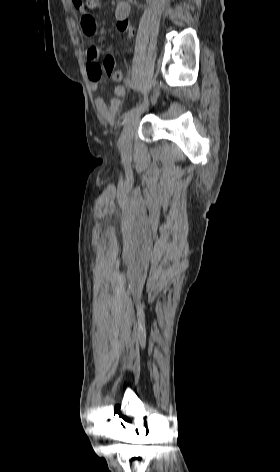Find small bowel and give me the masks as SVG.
Masks as SVG:
<instances>
[{
  "label": "small bowel",
  "instance_id": "small-bowel-1",
  "mask_svg": "<svg viewBox=\"0 0 280 472\" xmlns=\"http://www.w3.org/2000/svg\"><path fill=\"white\" fill-rule=\"evenodd\" d=\"M79 0H72L75 8L81 13L80 26L83 33L86 36H94L97 31L96 21L90 15L86 6ZM131 11V6L128 1L121 0L115 7V19L116 27L119 32L125 33L129 38L134 35V29L131 26L128 17ZM100 50L97 46H90L86 51L87 57V74L90 80V86L92 90H97L101 76L102 66L99 64ZM105 59H113L112 56L108 55ZM114 60V59H113ZM115 98L111 99L108 103L105 99L98 97L95 100V105L101 116L108 122H114L116 117L123 106L122 98L126 94L124 86H117L114 90Z\"/></svg>",
  "mask_w": 280,
  "mask_h": 472
}]
</instances>
